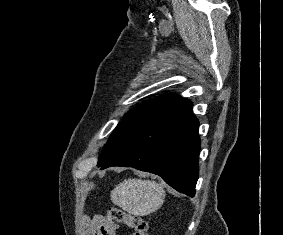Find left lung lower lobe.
Listing matches in <instances>:
<instances>
[{
  "mask_svg": "<svg viewBox=\"0 0 283 235\" xmlns=\"http://www.w3.org/2000/svg\"><path fill=\"white\" fill-rule=\"evenodd\" d=\"M199 122L187 99L166 108L128 137L99 167H134L161 176L190 197L198 179Z\"/></svg>",
  "mask_w": 283,
  "mask_h": 235,
  "instance_id": "0a47b994",
  "label": "left lung lower lobe"
}]
</instances>
